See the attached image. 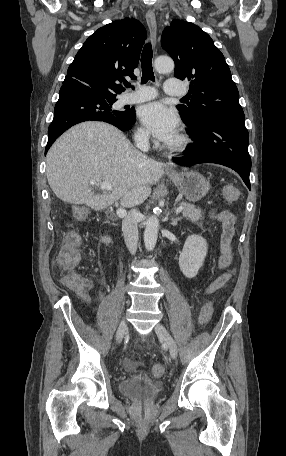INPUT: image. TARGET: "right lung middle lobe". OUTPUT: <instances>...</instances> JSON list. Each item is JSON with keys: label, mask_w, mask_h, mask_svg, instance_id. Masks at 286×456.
Listing matches in <instances>:
<instances>
[{"label": "right lung middle lobe", "mask_w": 286, "mask_h": 456, "mask_svg": "<svg viewBox=\"0 0 286 456\" xmlns=\"http://www.w3.org/2000/svg\"><path fill=\"white\" fill-rule=\"evenodd\" d=\"M116 101L115 100H110L109 101V106H107V114L108 115H112V116H118V115H121L123 113H125V111H115V110H112L111 107H112V104Z\"/></svg>", "instance_id": "dd1d6c3e"}]
</instances>
